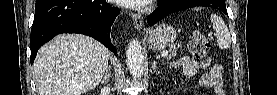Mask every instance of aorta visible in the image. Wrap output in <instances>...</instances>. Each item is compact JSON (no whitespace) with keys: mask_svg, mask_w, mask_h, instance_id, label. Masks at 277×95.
Segmentation results:
<instances>
[{"mask_svg":"<svg viewBox=\"0 0 277 95\" xmlns=\"http://www.w3.org/2000/svg\"><path fill=\"white\" fill-rule=\"evenodd\" d=\"M126 62L130 74L136 79L140 78L144 70V56L141 43L137 39H132L127 47Z\"/></svg>","mask_w":277,"mask_h":95,"instance_id":"obj_1","label":"aorta"}]
</instances>
